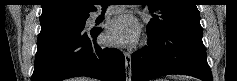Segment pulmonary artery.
<instances>
[{
	"instance_id": "pulmonary-artery-1",
	"label": "pulmonary artery",
	"mask_w": 237,
	"mask_h": 81,
	"mask_svg": "<svg viewBox=\"0 0 237 81\" xmlns=\"http://www.w3.org/2000/svg\"><path fill=\"white\" fill-rule=\"evenodd\" d=\"M105 13H106V14H114V13H116V9H115V8H110V9L106 10ZM98 15H99V13H95V14L93 15V18H97Z\"/></svg>"
}]
</instances>
